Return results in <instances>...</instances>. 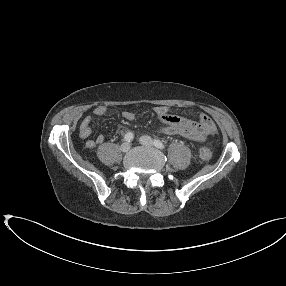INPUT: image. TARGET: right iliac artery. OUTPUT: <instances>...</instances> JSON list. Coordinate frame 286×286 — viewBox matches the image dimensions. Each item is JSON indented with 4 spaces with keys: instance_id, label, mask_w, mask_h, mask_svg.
<instances>
[{
    "instance_id": "obj_1",
    "label": "right iliac artery",
    "mask_w": 286,
    "mask_h": 286,
    "mask_svg": "<svg viewBox=\"0 0 286 286\" xmlns=\"http://www.w3.org/2000/svg\"><path fill=\"white\" fill-rule=\"evenodd\" d=\"M134 138V134L132 132H128L125 134L124 136V140L127 141V142H130L132 141Z\"/></svg>"
}]
</instances>
